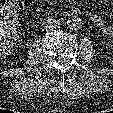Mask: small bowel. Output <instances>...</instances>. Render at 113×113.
Wrapping results in <instances>:
<instances>
[{"label": "small bowel", "instance_id": "1", "mask_svg": "<svg viewBox=\"0 0 113 113\" xmlns=\"http://www.w3.org/2000/svg\"><path fill=\"white\" fill-rule=\"evenodd\" d=\"M91 21L95 26L101 29L105 34L113 36V25L107 24L100 16L91 15Z\"/></svg>", "mask_w": 113, "mask_h": 113}]
</instances>
